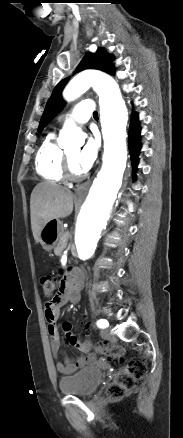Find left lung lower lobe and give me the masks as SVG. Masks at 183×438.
Returning a JSON list of instances; mask_svg holds the SVG:
<instances>
[{"mask_svg": "<svg viewBox=\"0 0 183 438\" xmlns=\"http://www.w3.org/2000/svg\"><path fill=\"white\" fill-rule=\"evenodd\" d=\"M140 127L138 125V116L136 113H133L130 130H129V145H130V155L132 165L135 168L138 163V153L141 148L139 142Z\"/></svg>", "mask_w": 183, "mask_h": 438, "instance_id": "left-lung-lower-lobe-1", "label": "left lung lower lobe"}]
</instances>
